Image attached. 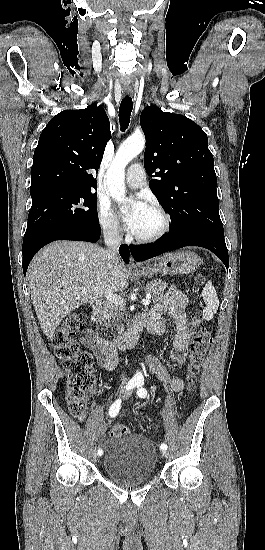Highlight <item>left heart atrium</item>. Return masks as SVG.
<instances>
[{"mask_svg":"<svg viewBox=\"0 0 265 550\" xmlns=\"http://www.w3.org/2000/svg\"><path fill=\"white\" fill-rule=\"evenodd\" d=\"M148 208V205L141 198H138L132 210L124 215V222L132 233L136 230L141 217Z\"/></svg>","mask_w":265,"mask_h":550,"instance_id":"39dd6f15","label":"left heart atrium"}]
</instances>
